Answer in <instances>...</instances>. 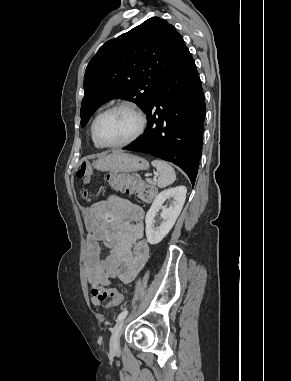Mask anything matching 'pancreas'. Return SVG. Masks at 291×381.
I'll list each match as a JSON object with an SVG mask.
<instances>
[{"label":"pancreas","mask_w":291,"mask_h":381,"mask_svg":"<svg viewBox=\"0 0 291 381\" xmlns=\"http://www.w3.org/2000/svg\"><path fill=\"white\" fill-rule=\"evenodd\" d=\"M146 181H147L152 187H155V185H156L155 180H151V179L147 178Z\"/></svg>","instance_id":"obj_1"}]
</instances>
